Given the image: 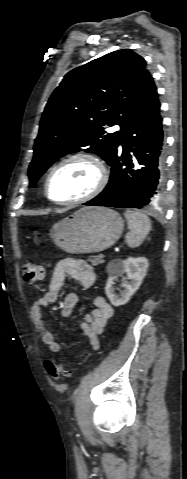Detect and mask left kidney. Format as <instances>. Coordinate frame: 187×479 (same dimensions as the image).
Here are the masks:
<instances>
[{
    "instance_id": "5707ae66",
    "label": "left kidney",
    "mask_w": 187,
    "mask_h": 479,
    "mask_svg": "<svg viewBox=\"0 0 187 479\" xmlns=\"http://www.w3.org/2000/svg\"><path fill=\"white\" fill-rule=\"evenodd\" d=\"M148 266V260L144 257H129L126 260L114 259L108 263L107 273L109 278L105 286V293L113 306L119 307L130 300L131 296L139 289ZM124 274L127 275L129 281L123 284L124 291L119 297L115 295L114 284L115 280Z\"/></svg>"
}]
</instances>
